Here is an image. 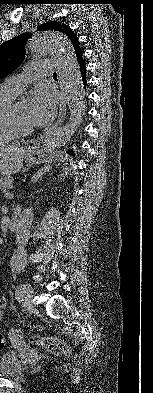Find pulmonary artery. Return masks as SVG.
I'll use <instances>...</instances> for the list:
<instances>
[{
    "instance_id": "1",
    "label": "pulmonary artery",
    "mask_w": 153,
    "mask_h": 393,
    "mask_svg": "<svg viewBox=\"0 0 153 393\" xmlns=\"http://www.w3.org/2000/svg\"><path fill=\"white\" fill-rule=\"evenodd\" d=\"M54 68L55 64L50 60L38 61L31 64L27 72L6 79L3 86L19 94L30 82L37 79L42 74H50Z\"/></svg>"
}]
</instances>
